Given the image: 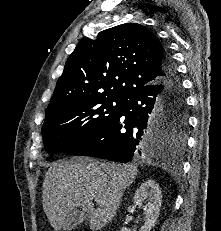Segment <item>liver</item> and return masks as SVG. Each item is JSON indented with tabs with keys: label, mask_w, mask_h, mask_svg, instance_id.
I'll use <instances>...</instances> for the list:
<instances>
[{
	"label": "liver",
	"mask_w": 221,
	"mask_h": 231,
	"mask_svg": "<svg viewBox=\"0 0 221 231\" xmlns=\"http://www.w3.org/2000/svg\"><path fill=\"white\" fill-rule=\"evenodd\" d=\"M134 165L73 158L53 164L46 172L42 204L51 226L57 231L76 208L89 219L92 231L101 230L116 215L122 196L135 180ZM100 199L94 208L92 200Z\"/></svg>",
	"instance_id": "obj_1"
}]
</instances>
